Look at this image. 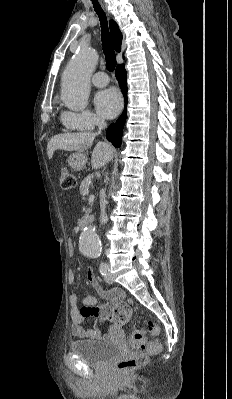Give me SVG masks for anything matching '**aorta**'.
Returning a JSON list of instances; mask_svg holds the SVG:
<instances>
[{"label":"aorta","mask_w":232,"mask_h":399,"mask_svg":"<svg viewBox=\"0 0 232 399\" xmlns=\"http://www.w3.org/2000/svg\"><path fill=\"white\" fill-rule=\"evenodd\" d=\"M97 62L98 55L92 48L81 47L67 64L62 76L61 99L69 109L77 111L87 106L90 78ZM79 250L89 257H97L101 254V242L92 226L82 232Z\"/></svg>","instance_id":"1"}]
</instances>
